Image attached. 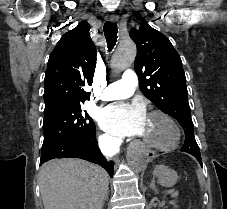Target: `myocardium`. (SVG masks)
<instances>
[{
  "instance_id": "1",
  "label": "myocardium",
  "mask_w": 227,
  "mask_h": 209,
  "mask_svg": "<svg viewBox=\"0 0 227 209\" xmlns=\"http://www.w3.org/2000/svg\"><path fill=\"white\" fill-rule=\"evenodd\" d=\"M149 117H160L164 119L173 130V139L167 145L157 144L141 138V142L148 148L158 151L173 150L178 147L181 142L182 132L178 122L168 113L161 110H154L149 113Z\"/></svg>"
}]
</instances>
